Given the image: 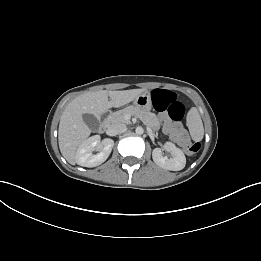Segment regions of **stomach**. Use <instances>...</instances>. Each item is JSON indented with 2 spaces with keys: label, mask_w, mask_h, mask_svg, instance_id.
Returning a JSON list of instances; mask_svg holds the SVG:
<instances>
[{
  "label": "stomach",
  "mask_w": 261,
  "mask_h": 261,
  "mask_svg": "<svg viewBox=\"0 0 261 261\" xmlns=\"http://www.w3.org/2000/svg\"><path fill=\"white\" fill-rule=\"evenodd\" d=\"M133 104L144 111H149L152 107V99L150 96V92L146 91L137 96L133 100Z\"/></svg>",
  "instance_id": "stomach-1"
}]
</instances>
